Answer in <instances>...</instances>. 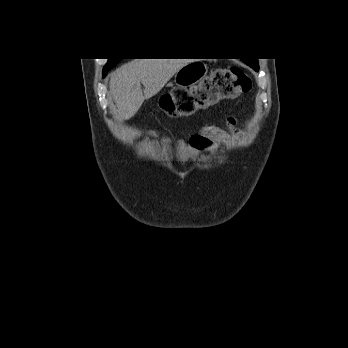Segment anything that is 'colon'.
<instances>
[{"label":"colon","instance_id":"5ec220e1","mask_svg":"<svg viewBox=\"0 0 348 348\" xmlns=\"http://www.w3.org/2000/svg\"><path fill=\"white\" fill-rule=\"evenodd\" d=\"M251 88L250 75L239 66H229L214 70L197 90L204 91L208 99L223 100L248 93ZM194 95L193 89H177L162 96L159 106L169 116L183 115L197 107Z\"/></svg>","mask_w":348,"mask_h":348}]
</instances>
